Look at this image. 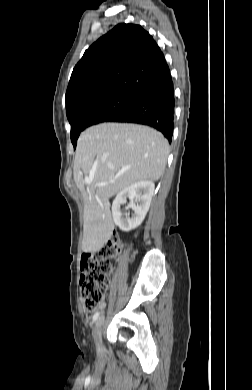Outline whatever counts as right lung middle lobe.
I'll return each instance as SVG.
<instances>
[{"label": "right lung middle lobe", "mask_w": 252, "mask_h": 390, "mask_svg": "<svg viewBox=\"0 0 252 390\" xmlns=\"http://www.w3.org/2000/svg\"><path fill=\"white\" fill-rule=\"evenodd\" d=\"M135 96L111 95L82 104L69 113L67 118L71 124V141L74 148L80 133L87 127L107 121L110 117L125 110Z\"/></svg>", "instance_id": "right-lung-middle-lobe-1"}]
</instances>
